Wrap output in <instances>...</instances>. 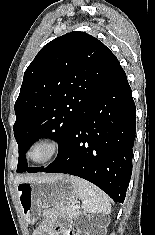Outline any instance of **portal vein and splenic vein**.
Here are the masks:
<instances>
[{"mask_svg":"<svg viewBox=\"0 0 155 235\" xmlns=\"http://www.w3.org/2000/svg\"><path fill=\"white\" fill-rule=\"evenodd\" d=\"M80 208V206H73L74 210H78Z\"/></svg>","mask_w":155,"mask_h":235,"instance_id":"portal-vein-and-splenic-vein-1","label":"portal vein and splenic vein"}]
</instances>
